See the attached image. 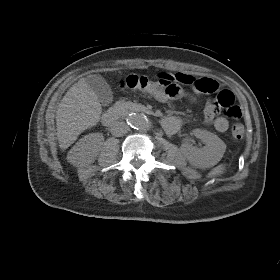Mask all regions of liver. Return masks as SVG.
I'll list each match as a JSON object with an SVG mask.
<instances>
[{
  "label": "liver",
  "mask_w": 280,
  "mask_h": 280,
  "mask_svg": "<svg viewBox=\"0 0 280 280\" xmlns=\"http://www.w3.org/2000/svg\"><path fill=\"white\" fill-rule=\"evenodd\" d=\"M102 107L86 79H80L65 94L56 113L60 148H68L77 137L100 119Z\"/></svg>",
  "instance_id": "6515ba94"
}]
</instances>
